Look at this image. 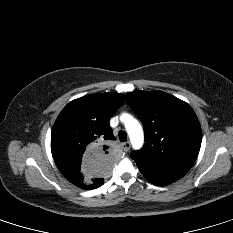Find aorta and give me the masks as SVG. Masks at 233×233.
I'll list each match as a JSON object with an SVG mask.
<instances>
[{"label": "aorta", "instance_id": "obj_1", "mask_svg": "<svg viewBox=\"0 0 233 233\" xmlns=\"http://www.w3.org/2000/svg\"><path fill=\"white\" fill-rule=\"evenodd\" d=\"M124 124L133 148L136 150L140 149L144 143V134L140 123L132 116L126 115Z\"/></svg>", "mask_w": 233, "mask_h": 233}]
</instances>
